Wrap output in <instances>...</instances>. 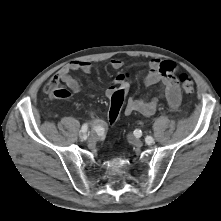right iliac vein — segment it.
Wrapping results in <instances>:
<instances>
[{
    "label": "right iliac vein",
    "instance_id": "right-iliac-vein-1",
    "mask_svg": "<svg viewBox=\"0 0 221 221\" xmlns=\"http://www.w3.org/2000/svg\"><path fill=\"white\" fill-rule=\"evenodd\" d=\"M97 140V136L95 133H91L88 137V142L89 143H94Z\"/></svg>",
    "mask_w": 221,
    "mask_h": 221
}]
</instances>
